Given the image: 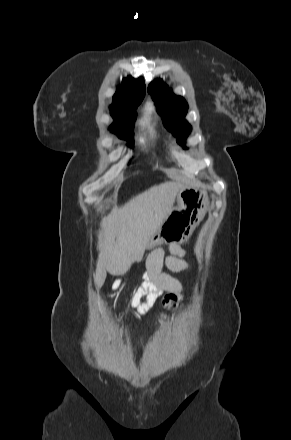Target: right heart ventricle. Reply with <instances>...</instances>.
<instances>
[{"mask_svg": "<svg viewBox=\"0 0 291 440\" xmlns=\"http://www.w3.org/2000/svg\"><path fill=\"white\" fill-rule=\"evenodd\" d=\"M151 114L152 107L148 106L145 110L144 117L142 118L140 124L147 130L149 139H151V141H157L159 139V135L155 130V122Z\"/></svg>", "mask_w": 291, "mask_h": 440, "instance_id": "right-heart-ventricle-1", "label": "right heart ventricle"}]
</instances>
